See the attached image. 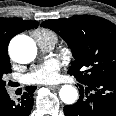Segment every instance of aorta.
Masks as SVG:
<instances>
[{
    "instance_id": "aorta-1",
    "label": "aorta",
    "mask_w": 116,
    "mask_h": 116,
    "mask_svg": "<svg viewBox=\"0 0 116 116\" xmlns=\"http://www.w3.org/2000/svg\"><path fill=\"white\" fill-rule=\"evenodd\" d=\"M9 54L18 63L27 64L32 62L37 54L35 42L26 35L14 37L9 44ZM61 100L65 104H73L77 101L78 91L72 85H63L59 92Z\"/></svg>"
}]
</instances>
